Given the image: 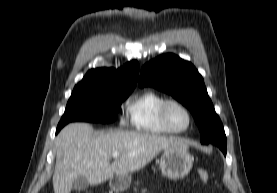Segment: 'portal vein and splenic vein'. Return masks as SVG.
<instances>
[{"label":"portal vein and splenic vein","mask_w":277,"mask_h":193,"mask_svg":"<svg viewBox=\"0 0 277 193\" xmlns=\"http://www.w3.org/2000/svg\"><path fill=\"white\" fill-rule=\"evenodd\" d=\"M120 154L118 152H113L112 157L117 158Z\"/></svg>","instance_id":"portal-vein-and-splenic-vein-1"}]
</instances>
